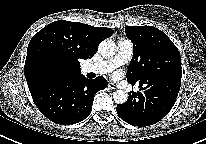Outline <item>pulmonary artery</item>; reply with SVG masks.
I'll list each match as a JSON object with an SVG mask.
<instances>
[{
  "instance_id": "obj_1",
  "label": "pulmonary artery",
  "mask_w": 206,
  "mask_h": 144,
  "mask_svg": "<svg viewBox=\"0 0 206 144\" xmlns=\"http://www.w3.org/2000/svg\"><path fill=\"white\" fill-rule=\"evenodd\" d=\"M133 56V44L127 39L119 41L117 52L114 57L92 63L84 68V71L95 74H106L116 69L117 67L129 62Z\"/></svg>"
}]
</instances>
